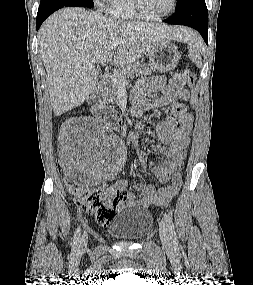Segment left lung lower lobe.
<instances>
[{"label":"left lung lower lobe","instance_id":"left-lung-lower-lobe-1","mask_svg":"<svg viewBox=\"0 0 253 285\" xmlns=\"http://www.w3.org/2000/svg\"><path fill=\"white\" fill-rule=\"evenodd\" d=\"M164 22L192 27L202 35L204 41L208 44V12L205 0L186 1Z\"/></svg>","mask_w":253,"mask_h":285}]
</instances>
